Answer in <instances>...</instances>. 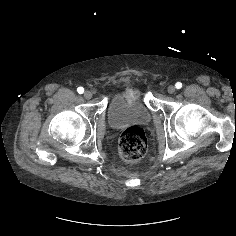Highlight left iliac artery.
Returning <instances> with one entry per match:
<instances>
[{
	"mask_svg": "<svg viewBox=\"0 0 236 236\" xmlns=\"http://www.w3.org/2000/svg\"><path fill=\"white\" fill-rule=\"evenodd\" d=\"M175 87H176L177 89L182 88V83H181V82H177V83L175 84Z\"/></svg>",
	"mask_w": 236,
	"mask_h": 236,
	"instance_id": "44dca946",
	"label": "left iliac artery"
}]
</instances>
